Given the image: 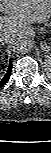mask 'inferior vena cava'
Segmentation results:
<instances>
[{"label": "inferior vena cava", "instance_id": "602c4592", "mask_svg": "<svg viewBox=\"0 0 51 153\" xmlns=\"http://www.w3.org/2000/svg\"><path fill=\"white\" fill-rule=\"evenodd\" d=\"M11 37H12V34H1L0 35V41L2 42V43H6V42H8L9 40H11Z\"/></svg>", "mask_w": 51, "mask_h": 153}]
</instances>
